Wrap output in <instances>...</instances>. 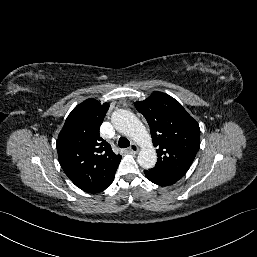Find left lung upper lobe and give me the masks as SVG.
Returning <instances> with one entry per match:
<instances>
[{
	"instance_id": "1",
	"label": "left lung upper lobe",
	"mask_w": 257,
	"mask_h": 257,
	"mask_svg": "<svg viewBox=\"0 0 257 257\" xmlns=\"http://www.w3.org/2000/svg\"><path fill=\"white\" fill-rule=\"evenodd\" d=\"M146 118L158 161L150 171L178 181L190 168L200 145V128L173 97L154 92L144 101L135 102Z\"/></svg>"
}]
</instances>
